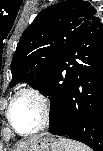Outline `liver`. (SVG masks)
Returning <instances> with one entry per match:
<instances>
[{
    "instance_id": "1",
    "label": "liver",
    "mask_w": 103,
    "mask_h": 151,
    "mask_svg": "<svg viewBox=\"0 0 103 151\" xmlns=\"http://www.w3.org/2000/svg\"><path fill=\"white\" fill-rule=\"evenodd\" d=\"M34 139H35V138H32L31 140H28L27 142H24V143L20 144V145L16 148L15 151H25V150L27 149L29 143H30L31 141H33Z\"/></svg>"
}]
</instances>
